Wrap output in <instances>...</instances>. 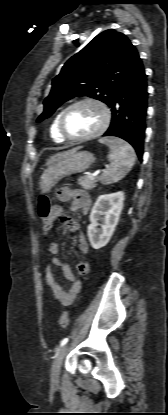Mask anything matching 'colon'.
<instances>
[{"instance_id": "1", "label": "colon", "mask_w": 168, "mask_h": 415, "mask_svg": "<svg viewBox=\"0 0 168 415\" xmlns=\"http://www.w3.org/2000/svg\"><path fill=\"white\" fill-rule=\"evenodd\" d=\"M38 213L41 218V228L43 232H47L54 220L55 207H52L50 199L46 195H42L39 199ZM59 323L62 328H67L69 324L68 312L62 313Z\"/></svg>"}]
</instances>
